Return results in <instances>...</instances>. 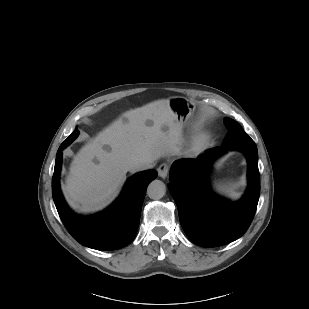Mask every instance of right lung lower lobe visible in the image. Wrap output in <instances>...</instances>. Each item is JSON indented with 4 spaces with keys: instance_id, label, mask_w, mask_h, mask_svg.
<instances>
[{
    "instance_id": "right-lung-lower-lobe-1",
    "label": "right lung lower lobe",
    "mask_w": 309,
    "mask_h": 309,
    "mask_svg": "<svg viewBox=\"0 0 309 309\" xmlns=\"http://www.w3.org/2000/svg\"><path fill=\"white\" fill-rule=\"evenodd\" d=\"M65 147L61 145L56 155L52 195L66 229L80 244L92 249L109 251L129 245L139 226L146 186L157 177V171L148 170L134 175L108 209L98 215L82 218L68 208L60 190L62 150Z\"/></svg>"
}]
</instances>
